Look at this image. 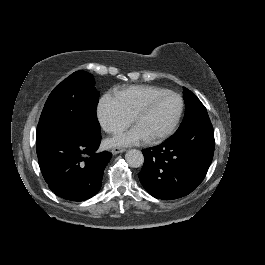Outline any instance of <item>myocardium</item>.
Returning <instances> with one entry per match:
<instances>
[{"label": "myocardium", "instance_id": "1", "mask_svg": "<svg viewBox=\"0 0 265 265\" xmlns=\"http://www.w3.org/2000/svg\"><path fill=\"white\" fill-rule=\"evenodd\" d=\"M160 94H169V95H173V96L177 97L180 105H179V109H178L177 115L174 118V120L172 122H170L166 127H164L160 132L149 137L148 140L150 142H156V141L163 139L166 136H168L173 131V129L176 127V125L179 123V121L182 117L183 111H184V100H183V97L179 93H176V92L169 90V89H158L155 92H153L152 94H150L141 103V105L139 106V108L137 109V111L133 115V122L134 123H136L137 117L139 115H141L144 111H146L147 108L150 106V104L153 102V100Z\"/></svg>", "mask_w": 265, "mask_h": 265}]
</instances>
